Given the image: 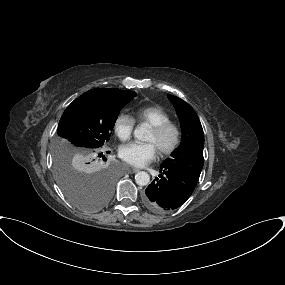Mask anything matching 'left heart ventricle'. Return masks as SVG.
Instances as JSON below:
<instances>
[{"instance_id": "1", "label": "left heart ventricle", "mask_w": 285, "mask_h": 285, "mask_svg": "<svg viewBox=\"0 0 285 285\" xmlns=\"http://www.w3.org/2000/svg\"><path fill=\"white\" fill-rule=\"evenodd\" d=\"M174 138L172 131H168L162 136H156L151 130L146 138L147 141L153 142L158 149L168 146Z\"/></svg>"}]
</instances>
